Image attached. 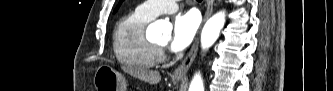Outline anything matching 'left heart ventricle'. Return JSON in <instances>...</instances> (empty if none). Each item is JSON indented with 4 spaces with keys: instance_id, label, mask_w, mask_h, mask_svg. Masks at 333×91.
Returning <instances> with one entry per match:
<instances>
[{
    "instance_id": "1",
    "label": "left heart ventricle",
    "mask_w": 333,
    "mask_h": 91,
    "mask_svg": "<svg viewBox=\"0 0 333 91\" xmlns=\"http://www.w3.org/2000/svg\"><path fill=\"white\" fill-rule=\"evenodd\" d=\"M166 43H167V39H161V40L157 41L156 44L161 45V46H165Z\"/></svg>"
}]
</instances>
